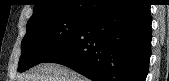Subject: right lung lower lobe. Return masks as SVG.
<instances>
[{
  "mask_svg": "<svg viewBox=\"0 0 169 81\" xmlns=\"http://www.w3.org/2000/svg\"><path fill=\"white\" fill-rule=\"evenodd\" d=\"M151 21L145 1L112 0L43 62L65 65L92 81H145Z\"/></svg>",
  "mask_w": 169,
  "mask_h": 81,
  "instance_id": "1",
  "label": "right lung lower lobe"
}]
</instances>
